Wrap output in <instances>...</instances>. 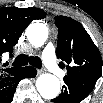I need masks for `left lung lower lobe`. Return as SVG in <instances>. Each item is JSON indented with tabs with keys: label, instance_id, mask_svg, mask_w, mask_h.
I'll return each instance as SVG.
<instances>
[{
	"label": "left lung lower lobe",
	"instance_id": "obj_1",
	"mask_svg": "<svg viewBox=\"0 0 103 103\" xmlns=\"http://www.w3.org/2000/svg\"><path fill=\"white\" fill-rule=\"evenodd\" d=\"M65 85L61 94L52 103H80L93 90L96 80L64 77Z\"/></svg>",
	"mask_w": 103,
	"mask_h": 103
}]
</instances>
